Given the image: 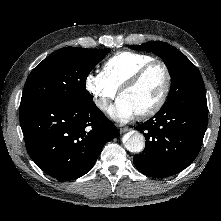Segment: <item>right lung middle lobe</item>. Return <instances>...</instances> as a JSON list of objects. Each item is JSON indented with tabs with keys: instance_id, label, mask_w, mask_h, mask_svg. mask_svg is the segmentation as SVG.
Wrapping results in <instances>:
<instances>
[{
	"instance_id": "right-lung-middle-lobe-1",
	"label": "right lung middle lobe",
	"mask_w": 221,
	"mask_h": 221,
	"mask_svg": "<svg viewBox=\"0 0 221 221\" xmlns=\"http://www.w3.org/2000/svg\"><path fill=\"white\" fill-rule=\"evenodd\" d=\"M110 49L65 47L52 53L29 74L21 103L92 100L86 78Z\"/></svg>"
}]
</instances>
